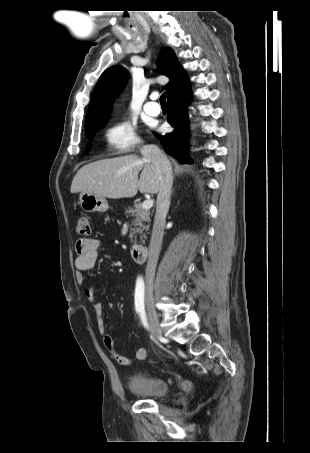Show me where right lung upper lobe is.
I'll list each match as a JSON object with an SVG mask.
<instances>
[{
    "label": "right lung upper lobe",
    "mask_w": 310,
    "mask_h": 453,
    "mask_svg": "<svg viewBox=\"0 0 310 453\" xmlns=\"http://www.w3.org/2000/svg\"><path fill=\"white\" fill-rule=\"evenodd\" d=\"M159 70L170 79L166 86L167 95L185 76L178 59L170 48L162 50ZM126 79L127 73L122 66H112L102 73L90 101L85 129L104 123L111 108L112 98L122 90Z\"/></svg>",
    "instance_id": "cb5924a9"
}]
</instances>
